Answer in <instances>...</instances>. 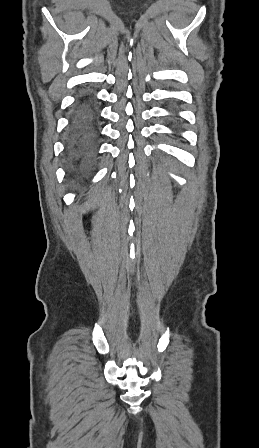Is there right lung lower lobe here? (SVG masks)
Here are the masks:
<instances>
[{
  "label": "right lung lower lobe",
  "instance_id": "98d812e1",
  "mask_svg": "<svg viewBox=\"0 0 259 448\" xmlns=\"http://www.w3.org/2000/svg\"><path fill=\"white\" fill-rule=\"evenodd\" d=\"M98 121L93 95L88 91L81 93L73 107L65 133L64 157L72 179H83L95 166Z\"/></svg>",
  "mask_w": 259,
  "mask_h": 448
}]
</instances>
